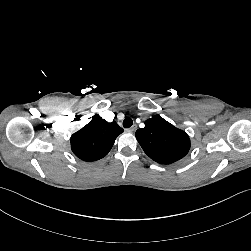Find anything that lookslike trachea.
<instances>
[{
	"label": "trachea",
	"mask_w": 251,
	"mask_h": 251,
	"mask_svg": "<svg viewBox=\"0 0 251 251\" xmlns=\"http://www.w3.org/2000/svg\"><path fill=\"white\" fill-rule=\"evenodd\" d=\"M132 124H133V120L130 117L125 118L123 121L124 128H129L132 126Z\"/></svg>",
	"instance_id": "obj_1"
}]
</instances>
